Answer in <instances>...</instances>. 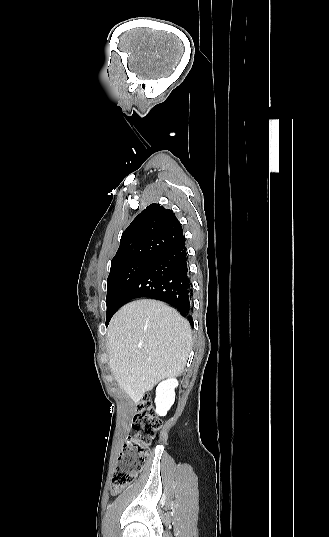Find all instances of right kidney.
Here are the masks:
<instances>
[{"label":"right kidney","instance_id":"1","mask_svg":"<svg viewBox=\"0 0 329 537\" xmlns=\"http://www.w3.org/2000/svg\"><path fill=\"white\" fill-rule=\"evenodd\" d=\"M178 386L176 378H169L158 384L156 388V413L165 416L175 401L174 389Z\"/></svg>","mask_w":329,"mask_h":537}]
</instances>
